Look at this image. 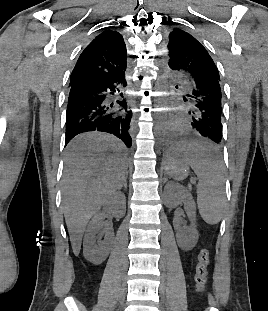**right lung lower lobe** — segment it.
Instances as JSON below:
<instances>
[{
  "instance_id": "98d812e1",
  "label": "right lung lower lobe",
  "mask_w": 268,
  "mask_h": 311,
  "mask_svg": "<svg viewBox=\"0 0 268 311\" xmlns=\"http://www.w3.org/2000/svg\"><path fill=\"white\" fill-rule=\"evenodd\" d=\"M125 74L70 85L66 111L65 146L77 134L101 131L120 138L131 147L130 122L132 111L121 92L127 85ZM111 95L118 96L112 102Z\"/></svg>"
}]
</instances>
